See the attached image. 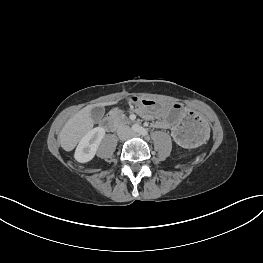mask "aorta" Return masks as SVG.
Returning <instances> with one entry per match:
<instances>
[{
    "instance_id": "obj_1",
    "label": "aorta",
    "mask_w": 263,
    "mask_h": 263,
    "mask_svg": "<svg viewBox=\"0 0 263 263\" xmlns=\"http://www.w3.org/2000/svg\"><path fill=\"white\" fill-rule=\"evenodd\" d=\"M132 130H133L134 132H139V131L141 130V126H139L138 124H134V125L132 126Z\"/></svg>"
}]
</instances>
